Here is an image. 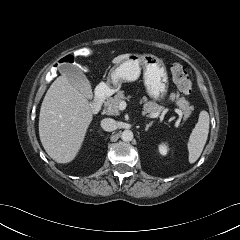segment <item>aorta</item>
<instances>
[{
	"instance_id": "762f6f07",
	"label": "aorta",
	"mask_w": 240,
	"mask_h": 240,
	"mask_svg": "<svg viewBox=\"0 0 240 240\" xmlns=\"http://www.w3.org/2000/svg\"><path fill=\"white\" fill-rule=\"evenodd\" d=\"M121 139L125 142H129L133 139V132L131 130H124L121 134Z\"/></svg>"
}]
</instances>
